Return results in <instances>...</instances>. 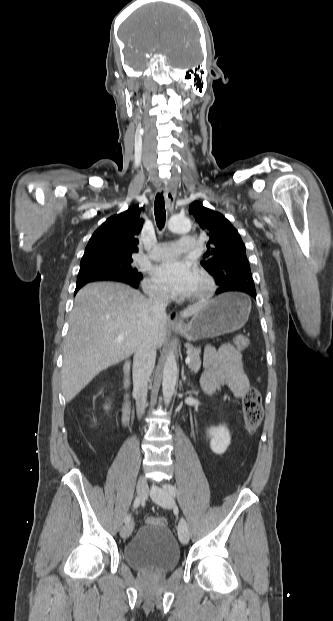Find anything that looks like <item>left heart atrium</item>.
<instances>
[{
  "label": "left heart atrium",
  "mask_w": 333,
  "mask_h": 621,
  "mask_svg": "<svg viewBox=\"0 0 333 621\" xmlns=\"http://www.w3.org/2000/svg\"><path fill=\"white\" fill-rule=\"evenodd\" d=\"M153 275L169 291L185 295L197 277V271L185 261L166 260L153 268Z\"/></svg>",
  "instance_id": "39dd6f15"
}]
</instances>
